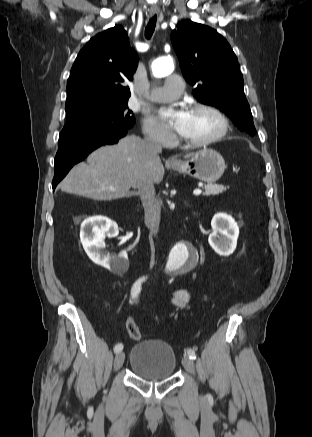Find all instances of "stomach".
Returning <instances> with one entry per match:
<instances>
[{
    "label": "stomach",
    "mask_w": 312,
    "mask_h": 437,
    "mask_svg": "<svg viewBox=\"0 0 312 437\" xmlns=\"http://www.w3.org/2000/svg\"><path fill=\"white\" fill-rule=\"evenodd\" d=\"M171 168L203 182L213 183L223 175L226 166L220 153L212 149H202L188 160L171 164Z\"/></svg>",
    "instance_id": "obj_1"
}]
</instances>
